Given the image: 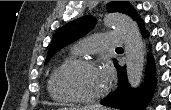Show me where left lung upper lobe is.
I'll return each instance as SVG.
<instances>
[{"mask_svg": "<svg viewBox=\"0 0 171 110\" xmlns=\"http://www.w3.org/2000/svg\"><path fill=\"white\" fill-rule=\"evenodd\" d=\"M108 12H120L129 15L138 22L141 18L137 15L136 10L128 1H113L108 7ZM96 23L95 18L92 16H84L71 21L61 27L54 35L53 40L48 51L45 64L58 52L61 48L67 46L71 42L83 37L87 34ZM115 66L117 61L114 60Z\"/></svg>", "mask_w": 171, "mask_h": 110, "instance_id": "obj_1", "label": "left lung upper lobe"}]
</instances>
